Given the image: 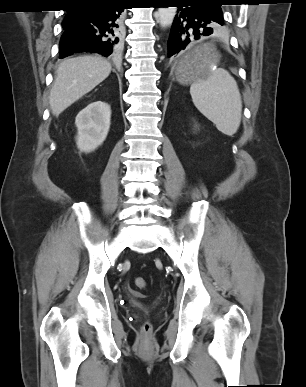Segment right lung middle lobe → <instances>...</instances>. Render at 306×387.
I'll list each match as a JSON object with an SVG mask.
<instances>
[{
  "label": "right lung middle lobe",
  "instance_id": "right-lung-middle-lobe-1",
  "mask_svg": "<svg viewBox=\"0 0 306 387\" xmlns=\"http://www.w3.org/2000/svg\"><path fill=\"white\" fill-rule=\"evenodd\" d=\"M73 23H74V20L65 18L62 25H63V27H65V26L73 24Z\"/></svg>",
  "mask_w": 306,
  "mask_h": 387
}]
</instances>
